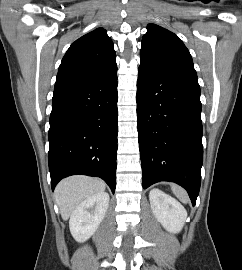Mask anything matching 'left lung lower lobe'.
I'll list each match as a JSON object with an SVG mask.
<instances>
[{
	"mask_svg": "<svg viewBox=\"0 0 242 270\" xmlns=\"http://www.w3.org/2000/svg\"><path fill=\"white\" fill-rule=\"evenodd\" d=\"M137 119L143 188L175 182L195 205L203 162L198 81L140 63Z\"/></svg>",
	"mask_w": 242,
	"mask_h": 270,
	"instance_id": "0a47b994",
	"label": "left lung lower lobe"
}]
</instances>
